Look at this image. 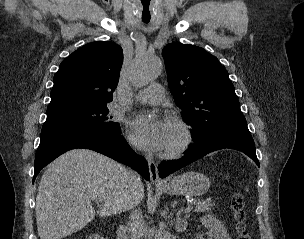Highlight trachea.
<instances>
[{
	"label": "trachea",
	"mask_w": 304,
	"mask_h": 239,
	"mask_svg": "<svg viewBox=\"0 0 304 239\" xmlns=\"http://www.w3.org/2000/svg\"><path fill=\"white\" fill-rule=\"evenodd\" d=\"M152 0H140V17L142 23H149L150 19H152L153 14L150 12Z\"/></svg>",
	"instance_id": "3493384b"
}]
</instances>
